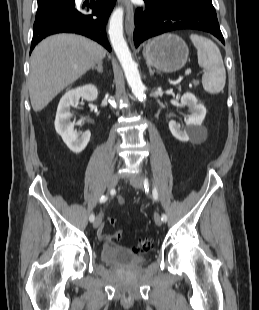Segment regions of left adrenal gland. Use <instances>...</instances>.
Listing matches in <instances>:
<instances>
[{
	"label": "left adrenal gland",
	"mask_w": 259,
	"mask_h": 310,
	"mask_svg": "<svg viewBox=\"0 0 259 310\" xmlns=\"http://www.w3.org/2000/svg\"><path fill=\"white\" fill-rule=\"evenodd\" d=\"M148 68H149V74H150V76L154 75L155 70H152L150 66H149Z\"/></svg>",
	"instance_id": "left-adrenal-gland-1"
}]
</instances>
